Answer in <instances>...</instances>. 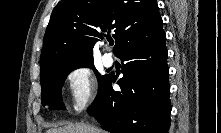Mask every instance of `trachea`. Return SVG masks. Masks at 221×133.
Here are the masks:
<instances>
[{"mask_svg": "<svg viewBox=\"0 0 221 133\" xmlns=\"http://www.w3.org/2000/svg\"><path fill=\"white\" fill-rule=\"evenodd\" d=\"M109 44H110V45H113V44H114V42H113V41H109Z\"/></svg>", "mask_w": 221, "mask_h": 133, "instance_id": "obj_1", "label": "trachea"}]
</instances>
